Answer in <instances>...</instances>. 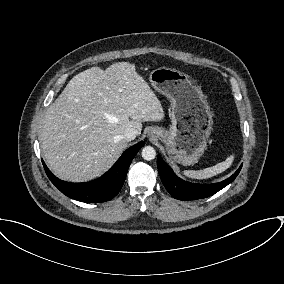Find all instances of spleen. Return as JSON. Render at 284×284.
<instances>
[{"label": "spleen", "mask_w": 284, "mask_h": 284, "mask_svg": "<svg viewBox=\"0 0 284 284\" xmlns=\"http://www.w3.org/2000/svg\"><path fill=\"white\" fill-rule=\"evenodd\" d=\"M234 160V155H230L225 161L216 164L215 166L205 168L203 170H185L183 174L192 179H207L219 173L224 172L229 168Z\"/></svg>", "instance_id": "1"}]
</instances>
